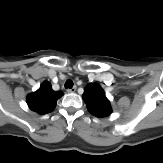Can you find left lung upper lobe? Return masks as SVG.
Segmentation results:
<instances>
[{
	"label": "left lung upper lobe",
	"mask_w": 163,
	"mask_h": 163,
	"mask_svg": "<svg viewBox=\"0 0 163 163\" xmlns=\"http://www.w3.org/2000/svg\"><path fill=\"white\" fill-rule=\"evenodd\" d=\"M83 100L88 111L96 117H106L112 112L109 100L106 98L101 86L97 83H89L84 88Z\"/></svg>",
	"instance_id": "1"
}]
</instances>
